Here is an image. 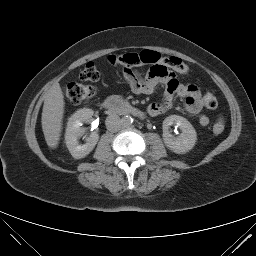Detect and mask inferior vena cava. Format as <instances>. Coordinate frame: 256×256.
Listing matches in <instances>:
<instances>
[{
    "instance_id": "602c4592",
    "label": "inferior vena cava",
    "mask_w": 256,
    "mask_h": 256,
    "mask_svg": "<svg viewBox=\"0 0 256 256\" xmlns=\"http://www.w3.org/2000/svg\"><path fill=\"white\" fill-rule=\"evenodd\" d=\"M105 124L110 132H117L122 126V120L118 115L112 114L106 118Z\"/></svg>"
}]
</instances>
